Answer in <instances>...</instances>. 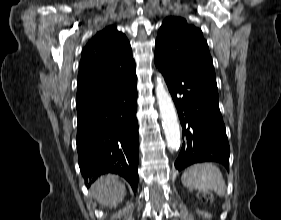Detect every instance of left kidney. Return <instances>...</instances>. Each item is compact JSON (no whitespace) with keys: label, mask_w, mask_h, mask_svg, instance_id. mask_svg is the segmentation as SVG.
I'll list each match as a JSON object with an SVG mask.
<instances>
[{"label":"left kidney","mask_w":281,"mask_h":220,"mask_svg":"<svg viewBox=\"0 0 281 220\" xmlns=\"http://www.w3.org/2000/svg\"><path fill=\"white\" fill-rule=\"evenodd\" d=\"M197 213H198L199 215H202V217L207 218V219H210V218L212 217L211 214H209V213H207V212H204V211H199V210H197Z\"/></svg>","instance_id":"1"}]
</instances>
